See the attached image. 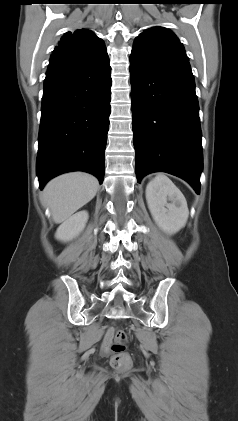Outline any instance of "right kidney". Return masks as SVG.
I'll return each instance as SVG.
<instances>
[{"instance_id":"ca27d5eb","label":"right kidney","mask_w":238,"mask_h":421,"mask_svg":"<svg viewBox=\"0 0 238 421\" xmlns=\"http://www.w3.org/2000/svg\"><path fill=\"white\" fill-rule=\"evenodd\" d=\"M88 217V212L85 210L72 215L58 227L55 238L63 242L72 240L83 231Z\"/></svg>"}]
</instances>
